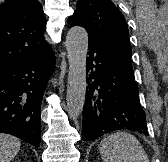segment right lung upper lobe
Segmentation results:
<instances>
[{
    "label": "right lung upper lobe",
    "instance_id": "obj_1",
    "mask_svg": "<svg viewBox=\"0 0 168 162\" xmlns=\"http://www.w3.org/2000/svg\"><path fill=\"white\" fill-rule=\"evenodd\" d=\"M44 26L38 0H5L0 5V73L52 50L43 37Z\"/></svg>",
    "mask_w": 168,
    "mask_h": 162
}]
</instances>
